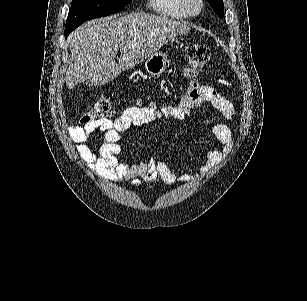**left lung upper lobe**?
<instances>
[{"label": "left lung upper lobe", "instance_id": "1", "mask_svg": "<svg viewBox=\"0 0 307 301\" xmlns=\"http://www.w3.org/2000/svg\"><path fill=\"white\" fill-rule=\"evenodd\" d=\"M207 1L210 3L211 7L218 16L224 17L223 0H207Z\"/></svg>", "mask_w": 307, "mask_h": 301}]
</instances>
